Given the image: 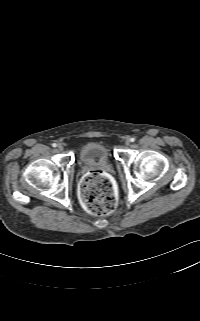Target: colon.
Wrapping results in <instances>:
<instances>
[{"mask_svg":"<svg viewBox=\"0 0 200 321\" xmlns=\"http://www.w3.org/2000/svg\"><path fill=\"white\" fill-rule=\"evenodd\" d=\"M79 193L86 210L105 215L116 207V196L109 177L100 170L86 174L80 182Z\"/></svg>","mask_w":200,"mask_h":321,"instance_id":"5ec220e1","label":"colon"}]
</instances>
